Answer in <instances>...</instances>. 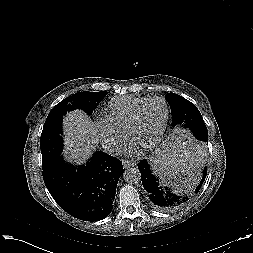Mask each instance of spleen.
Instances as JSON below:
<instances>
[{
  "instance_id": "1",
  "label": "spleen",
  "mask_w": 253,
  "mask_h": 253,
  "mask_svg": "<svg viewBox=\"0 0 253 253\" xmlns=\"http://www.w3.org/2000/svg\"><path fill=\"white\" fill-rule=\"evenodd\" d=\"M206 168V156L195 133L184 126L170 129L150 157L149 169L158 189L169 196L190 193Z\"/></svg>"
}]
</instances>
